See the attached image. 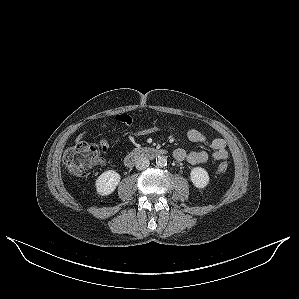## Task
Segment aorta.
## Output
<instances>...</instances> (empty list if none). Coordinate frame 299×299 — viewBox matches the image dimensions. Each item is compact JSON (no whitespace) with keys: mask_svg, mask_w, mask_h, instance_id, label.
<instances>
[{"mask_svg":"<svg viewBox=\"0 0 299 299\" xmlns=\"http://www.w3.org/2000/svg\"><path fill=\"white\" fill-rule=\"evenodd\" d=\"M156 165L158 167H164L167 165V159L164 156H158L156 158Z\"/></svg>","mask_w":299,"mask_h":299,"instance_id":"aorta-1","label":"aorta"}]
</instances>
